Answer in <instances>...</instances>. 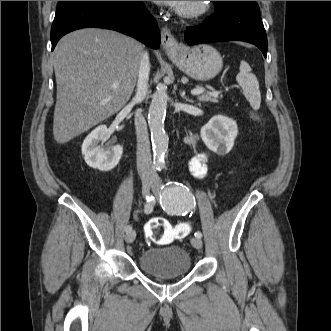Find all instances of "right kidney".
Here are the masks:
<instances>
[{
	"mask_svg": "<svg viewBox=\"0 0 331 331\" xmlns=\"http://www.w3.org/2000/svg\"><path fill=\"white\" fill-rule=\"evenodd\" d=\"M108 135L106 125L96 127L83 141L82 154L88 166L100 171H110L119 163L123 148L120 145L113 146L111 150H104L100 141Z\"/></svg>",
	"mask_w": 331,
	"mask_h": 331,
	"instance_id": "ca27d5eb",
	"label": "right kidney"
}]
</instances>
